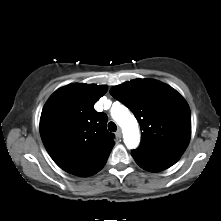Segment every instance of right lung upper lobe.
I'll return each instance as SVG.
<instances>
[{
  "label": "right lung upper lobe",
  "mask_w": 221,
  "mask_h": 221,
  "mask_svg": "<svg viewBox=\"0 0 221 221\" xmlns=\"http://www.w3.org/2000/svg\"><path fill=\"white\" fill-rule=\"evenodd\" d=\"M107 86L70 84L55 91L40 118L46 150L64 171L87 176L102 168L115 144L107 131V115L94 104Z\"/></svg>",
  "instance_id": "cb5924a9"
}]
</instances>
